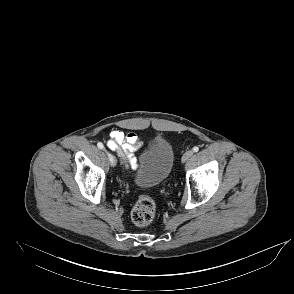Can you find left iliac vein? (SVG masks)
<instances>
[{
    "label": "left iliac vein",
    "instance_id": "obj_1",
    "mask_svg": "<svg viewBox=\"0 0 294 294\" xmlns=\"http://www.w3.org/2000/svg\"><path fill=\"white\" fill-rule=\"evenodd\" d=\"M193 151L192 150H188L184 153V155L182 156V162H186L189 158H191L193 156Z\"/></svg>",
    "mask_w": 294,
    "mask_h": 294
}]
</instances>
